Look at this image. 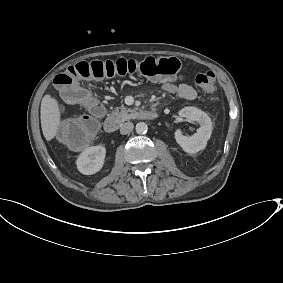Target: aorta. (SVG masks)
Returning <instances> with one entry per match:
<instances>
[{
    "mask_svg": "<svg viewBox=\"0 0 283 283\" xmlns=\"http://www.w3.org/2000/svg\"><path fill=\"white\" fill-rule=\"evenodd\" d=\"M136 132L138 134H145L147 132V124L145 122H139L136 124Z\"/></svg>",
    "mask_w": 283,
    "mask_h": 283,
    "instance_id": "762f6f07",
    "label": "aorta"
}]
</instances>
